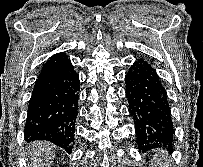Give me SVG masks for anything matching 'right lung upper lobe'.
Masks as SVG:
<instances>
[{
	"instance_id": "cb5924a9",
	"label": "right lung upper lobe",
	"mask_w": 203,
	"mask_h": 167,
	"mask_svg": "<svg viewBox=\"0 0 203 167\" xmlns=\"http://www.w3.org/2000/svg\"><path fill=\"white\" fill-rule=\"evenodd\" d=\"M69 59L65 56L64 53H58L57 55L52 56L42 67L40 75L37 81H41L46 79L55 73H57L67 62Z\"/></svg>"
}]
</instances>
